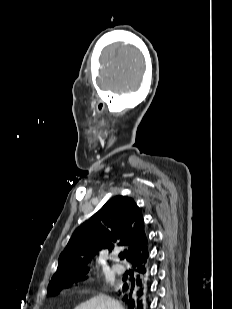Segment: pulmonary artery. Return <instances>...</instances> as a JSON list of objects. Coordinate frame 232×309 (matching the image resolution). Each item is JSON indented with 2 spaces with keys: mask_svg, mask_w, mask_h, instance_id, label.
<instances>
[{
  "mask_svg": "<svg viewBox=\"0 0 232 309\" xmlns=\"http://www.w3.org/2000/svg\"><path fill=\"white\" fill-rule=\"evenodd\" d=\"M113 270L118 274H122L125 272L126 268L121 264H115Z\"/></svg>",
  "mask_w": 232,
  "mask_h": 309,
  "instance_id": "pulmonary-artery-1",
  "label": "pulmonary artery"
}]
</instances>
